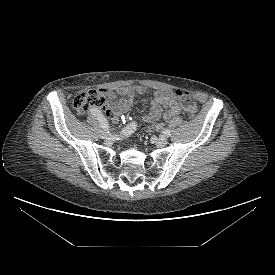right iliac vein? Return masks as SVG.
I'll list each match as a JSON object with an SVG mask.
<instances>
[{"label": "right iliac vein", "instance_id": "right-iliac-vein-1", "mask_svg": "<svg viewBox=\"0 0 275 275\" xmlns=\"http://www.w3.org/2000/svg\"><path fill=\"white\" fill-rule=\"evenodd\" d=\"M112 135L108 132H105V131H100L99 133V137L102 138V139H108L110 138Z\"/></svg>", "mask_w": 275, "mask_h": 275}]
</instances>
